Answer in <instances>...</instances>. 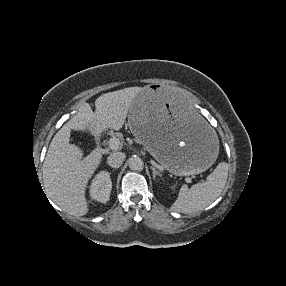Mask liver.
Masks as SVG:
<instances>
[{
	"label": "liver",
	"mask_w": 286,
	"mask_h": 286,
	"mask_svg": "<svg viewBox=\"0 0 286 286\" xmlns=\"http://www.w3.org/2000/svg\"><path fill=\"white\" fill-rule=\"evenodd\" d=\"M140 91L129 87L99 96L95 112L85 105L53 137L43 163V184L48 197L65 212L77 217L88 213L85 191L104 154L95 149L83 157L82 149L70 143L71 131L88 130L93 136L106 128L119 131Z\"/></svg>",
	"instance_id": "obj_1"
}]
</instances>
